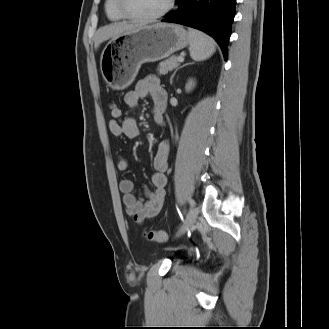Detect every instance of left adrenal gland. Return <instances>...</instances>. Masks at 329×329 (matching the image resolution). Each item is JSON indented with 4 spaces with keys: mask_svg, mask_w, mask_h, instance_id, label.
<instances>
[{
    "mask_svg": "<svg viewBox=\"0 0 329 329\" xmlns=\"http://www.w3.org/2000/svg\"><path fill=\"white\" fill-rule=\"evenodd\" d=\"M186 65H189V64H185V65L181 66L180 68H182V67H184V66H186ZM180 68H178V69H180ZM178 69H177V70H178ZM177 70H176V71L173 73V75L171 76V79H170V83H171V84H172V80H173V78H174V76H175Z\"/></svg>",
    "mask_w": 329,
    "mask_h": 329,
    "instance_id": "1",
    "label": "left adrenal gland"
}]
</instances>
